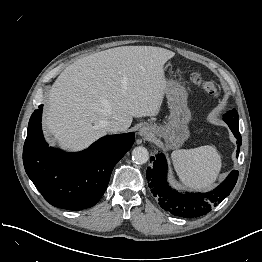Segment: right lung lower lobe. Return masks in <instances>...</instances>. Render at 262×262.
Masks as SVG:
<instances>
[{
    "instance_id": "98d812e1",
    "label": "right lung lower lobe",
    "mask_w": 262,
    "mask_h": 262,
    "mask_svg": "<svg viewBox=\"0 0 262 262\" xmlns=\"http://www.w3.org/2000/svg\"><path fill=\"white\" fill-rule=\"evenodd\" d=\"M42 107L28 124L23 149L26 173L50 204L68 210L92 207L104 194L113 167L130 150L135 134L105 136L87 150L66 153L45 142Z\"/></svg>"
}]
</instances>
